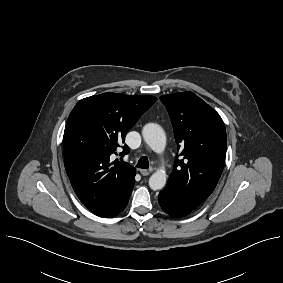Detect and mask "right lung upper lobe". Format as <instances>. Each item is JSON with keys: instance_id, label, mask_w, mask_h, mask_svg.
Listing matches in <instances>:
<instances>
[{"instance_id": "obj_1", "label": "right lung upper lobe", "mask_w": 283, "mask_h": 283, "mask_svg": "<svg viewBox=\"0 0 283 283\" xmlns=\"http://www.w3.org/2000/svg\"><path fill=\"white\" fill-rule=\"evenodd\" d=\"M156 100L108 92L80 100L70 113L63 136L65 169L76 195L95 215L110 216L130 197L135 168L110 156ZM127 153L124 145L121 154Z\"/></svg>"}]
</instances>
